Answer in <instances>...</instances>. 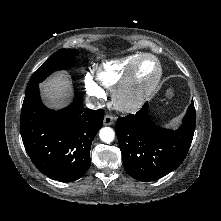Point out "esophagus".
Wrapping results in <instances>:
<instances>
[{
	"label": "esophagus",
	"mask_w": 221,
	"mask_h": 221,
	"mask_svg": "<svg viewBox=\"0 0 221 221\" xmlns=\"http://www.w3.org/2000/svg\"><path fill=\"white\" fill-rule=\"evenodd\" d=\"M113 122H114V117H113V116H111V115H109V114H106V115L104 116V124H105V125H112Z\"/></svg>",
	"instance_id": "obj_1"
}]
</instances>
